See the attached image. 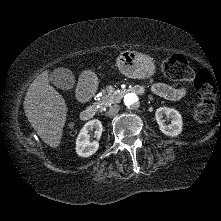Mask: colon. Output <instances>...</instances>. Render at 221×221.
Masks as SVG:
<instances>
[{"label":"colon","instance_id":"obj_1","mask_svg":"<svg viewBox=\"0 0 221 221\" xmlns=\"http://www.w3.org/2000/svg\"><path fill=\"white\" fill-rule=\"evenodd\" d=\"M163 74L175 81L191 83L198 92L200 101L194 112V118L200 123L208 122L215 112L216 87L213 78L206 70L195 73L188 66L185 57L173 55L161 65Z\"/></svg>","mask_w":221,"mask_h":221}]
</instances>
